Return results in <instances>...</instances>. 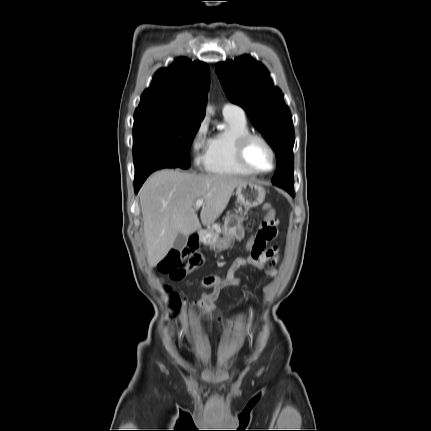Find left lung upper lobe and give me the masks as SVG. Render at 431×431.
I'll list each match as a JSON object with an SVG mask.
<instances>
[{"label":"left lung upper lobe","instance_id":"obj_1","mask_svg":"<svg viewBox=\"0 0 431 431\" xmlns=\"http://www.w3.org/2000/svg\"><path fill=\"white\" fill-rule=\"evenodd\" d=\"M216 72L228 99L246 111L252 124L275 151L278 171L272 183L293 191L295 135L282 92L273 85L264 65L248 55L218 63Z\"/></svg>","mask_w":431,"mask_h":431}]
</instances>
